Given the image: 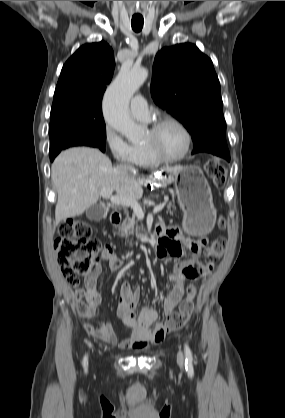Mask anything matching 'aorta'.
<instances>
[{"label":"aorta","instance_id":"762f6f07","mask_svg":"<svg viewBox=\"0 0 285 418\" xmlns=\"http://www.w3.org/2000/svg\"><path fill=\"white\" fill-rule=\"evenodd\" d=\"M148 77L143 67L122 68L108 87L103 100V113L107 125L125 136L128 141H139L143 129L129 115V101Z\"/></svg>","mask_w":285,"mask_h":418}]
</instances>
